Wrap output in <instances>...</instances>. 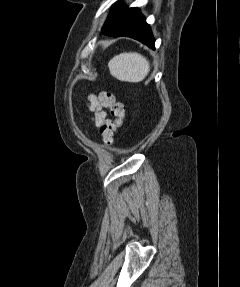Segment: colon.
Returning a JSON list of instances; mask_svg holds the SVG:
<instances>
[{
	"label": "colon",
	"instance_id": "1",
	"mask_svg": "<svg viewBox=\"0 0 240 287\" xmlns=\"http://www.w3.org/2000/svg\"><path fill=\"white\" fill-rule=\"evenodd\" d=\"M97 98L100 105L109 109L112 116L100 129L104 143L110 146L113 143L115 132L123 123L125 106L122 102L117 101L115 95L110 91H100Z\"/></svg>",
	"mask_w": 240,
	"mask_h": 287
}]
</instances>
